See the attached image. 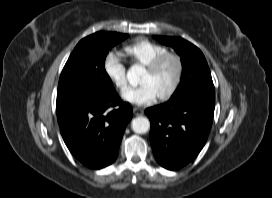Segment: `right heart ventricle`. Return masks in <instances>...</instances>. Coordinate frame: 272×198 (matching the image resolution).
Instances as JSON below:
<instances>
[{
    "label": "right heart ventricle",
    "instance_id": "1",
    "mask_svg": "<svg viewBox=\"0 0 272 198\" xmlns=\"http://www.w3.org/2000/svg\"><path fill=\"white\" fill-rule=\"evenodd\" d=\"M124 53L135 63L148 65L157 56L168 52V49L161 44L150 41L146 38H139L123 47Z\"/></svg>",
    "mask_w": 272,
    "mask_h": 198
}]
</instances>
